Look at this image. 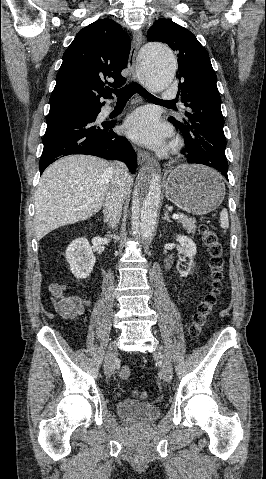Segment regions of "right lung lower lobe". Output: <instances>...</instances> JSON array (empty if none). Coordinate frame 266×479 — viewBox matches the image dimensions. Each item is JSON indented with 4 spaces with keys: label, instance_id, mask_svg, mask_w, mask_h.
I'll return each instance as SVG.
<instances>
[{
    "label": "right lung lower lobe",
    "instance_id": "obj_1",
    "mask_svg": "<svg viewBox=\"0 0 266 479\" xmlns=\"http://www.w3.org/2000/svg\"><path fill=\"white\" fill-rule=\"evenodd\" d=\"M104 105V104H103ZM88 112L77 109L49 111L47 129L43 137V152L39 168H45L57 159L71 154H87L105 159L120 160L131 173L137 168L135 151L126 138L118 136L113 127L116 122L96 121L101 111Z\"/></svg>",
    "mask_w": 266,
    "mask_h": 479
}]
</instances>
